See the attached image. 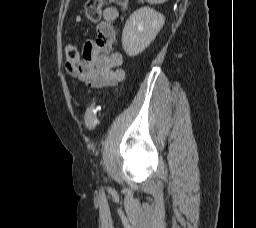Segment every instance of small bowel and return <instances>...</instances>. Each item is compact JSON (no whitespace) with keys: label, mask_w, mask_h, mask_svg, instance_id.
<instances>
[{"label":"small bowel","mask_w":256,"mask_h":228,"mask_svg":"<svg viewBox=\"0 0 256 228\" xmlns=\"http://www.w3.org/2000/svg\"><path fill=\"white\" fill-rule=\"evenodd\" d=\"M117 18L116 8H106L103 11V20L96 27V38L85 42L82 55L76 64L67 62L70 74L91 90L113 87L125 78V71L121 68L123 55L113 51Z\"/></svg>","instance_id":"1"}]
</instances>
